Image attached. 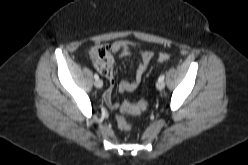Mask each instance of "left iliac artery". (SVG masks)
Returning a JSON list of instances; mask_svg holds the SVG:
<instances>
[{
  "instance_id": "1",
  "label": "left iliac artery",
  "mask_w": 248,
  "mask_h": 165,
  "mask_svg": "<svg viewBox=\"0 0 248 165\" xmlns=\"http://www.w3.org/2000/svg\"><path fill=\"white\" fill-rule=\"evenodd\" d=\"M164 78H165V75H164V74H162V75H160V77H159L158 81H162V80H164Z\"/></svg>"
}]
</instances>
